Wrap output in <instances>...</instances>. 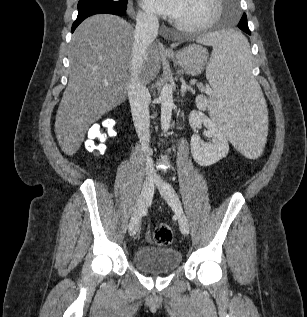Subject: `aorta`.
<instances>
[{"mask_svg": "<svg viewBox=\"0 0 307 317\" xmlns=\"http://www.w3.org/2000/svg\"><path fill=\"white\" fill-rule=\"evenodd\" d=\"M161 102V129L166 133L170 127L173 103L172 87L165 84L160 93Z\"/></svg>", "mask_w": 307, "mask_h": 317, "instance_id": "1", "label": "aorta"}]
</instances>
